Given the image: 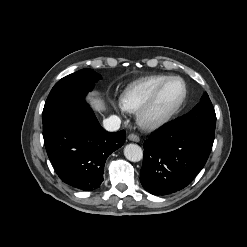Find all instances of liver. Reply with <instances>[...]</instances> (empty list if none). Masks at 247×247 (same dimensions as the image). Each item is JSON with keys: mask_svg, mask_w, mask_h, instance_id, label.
Here are the masks:
<instances>
[{"mask_svg": "<svg viewBox=\"0 0 247 247\" xmlns=\"http://www.w3.org/2000/svg\"><path fill=\"white\" fill-rule=\"evenodd\" d=\"M92 107L95 111L101 112L105 110V105L102 99L100 98H93L91 101Z\"/></svg>", "mask_w": 247, "mask_h": 247, "instance_id": "1", "label": "liver"}]
</instances>
